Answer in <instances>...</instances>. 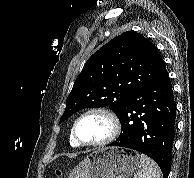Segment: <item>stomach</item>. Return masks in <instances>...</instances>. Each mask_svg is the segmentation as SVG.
I'll return each mask as SVG.
<instances>
[{"instance_id":"stomach-1","label":"stomach","mask_w":194,"mask_h":178,"mask_svg":"<svg viewBox=\"0 0 194 178\" xmlns=\"http://www.w3.org/2000/svg\"><path fill=\"white\" fill-rule=\"evenodd\" d=\"M140 167V156L128 148L112 147L90 153L68 178H129Z\"/></svg>"}]
</instances>
